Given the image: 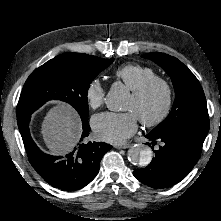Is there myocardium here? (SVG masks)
Instances as JSON below:
<instances>
[{
    "mask_svg": "<svg viewBox=\"0 0 221 221\" xmlns=\"http://www.w3.org/2000/svg\"><path fill=\"white\" fill-rule=\"evenodd\" d=\"M156 87L162 89L164 101L160 112L156 116L150 119L139 118L140 122L146 127L157 126L168 117L173 105V89L167 80L156 76L147 80L138 88L132 90L131 93L136 100L141 101Z\"/></svg>",
    "mask_w": 221,
    "mask_h": 221,
    "instance_id": "myocardium-1",
    "label": "myocardium"
}]
</instances>
